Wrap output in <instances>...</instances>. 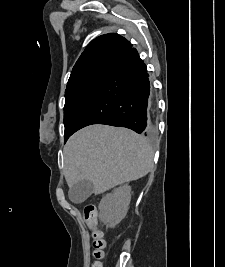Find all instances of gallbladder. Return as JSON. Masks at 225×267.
Here are the masks:
<instances>
[{"label": "gallbladder", "instance_id": "obj_1", "mask_svg": "<svg viewBox=\"0 0 225 267\" xmlns=\"http://www.w3.org/2000/svg\"><path fill=\"white\" fill-rule=\"evenodd\" d=\"M93 189L91 181L81 180L70 187L69 198L73 203H82L93 193Z\"/></svg>", "mask_w": 225, "mask_h": 267}]
</instances>
